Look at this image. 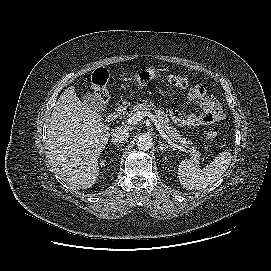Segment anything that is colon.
<instances>
[{"instance_id":"5ec220e1","label":"colon","mask_w":271,"mask_h":271,"mask_svg":"<svg viewBox=\"0 0 271 271\" xmlns=\"http://www.w3.org/2000/svg\"><path fill=\"white\" fill-rule=\"evenodd\" d=\"M107 80L108 75L105 70L99 69L97 70L91 78V87L94 94V97L99 103H105L108 100L109 92L107 89ZM168 82L171 86L186 89L189 86V81L187 78L178 76V75H170L168 77ZM208 139L213 140L216 138V132H209L207 135Z\"/></svg>"}]
</instances>
